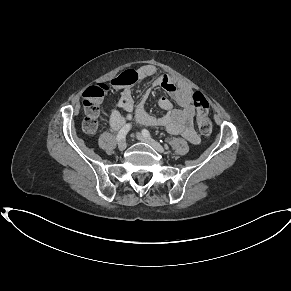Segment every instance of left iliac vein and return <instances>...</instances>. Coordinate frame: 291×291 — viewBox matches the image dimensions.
I'll return each mask as SVG.
<instances>
[{
	"label": "left iliac vein",
	"mask_w": 291,
	"mask_h": 291,
	"mask_svg": "<svg viewBox=\"0 0 291 291\" xmlns=\"http://www.w3.org/2000/svg\"><path fill=\"white\" fill-rule=\"evenodd\" d=\"M136 137H137L138 140H140L142 142H146L149 145H151L158 152H160V153H164L165 152L164 148L157 141L152 139L151 137H146L141 133H137Z\"/></svg>",
	"instance_id": "left-iliac-vein-1"
}]
</instances>
